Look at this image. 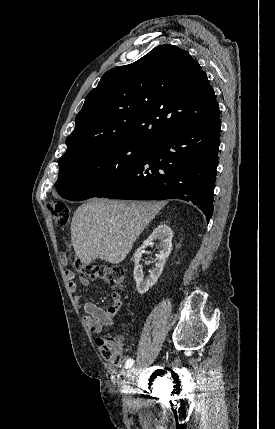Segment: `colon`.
I'll use <instances>...</instances> for the list:
<instances>
[{
  "label": "colon",
  "instance_id": "obj_1",
  "mask_svg": "<svg viewBox=\"0 0 275 429\" xmlns=\"http://www.w3.org/2000/svg\"><path fill=\"white\" fill-rule=\"evenodd\" d=\"M48 208L58 228L63 229L69 225L70 210L67 205L62 202L50 201ZM61 261L67 263L68 258L65 254H61ZM72 264L81 278L101 280L112 288L122 287L125 281V270L120 265H91L78 258H73ZM96 341L101 356L108 364H121L124 357L122 337L100 336Z\"/></svg>",
  "mask_w": 275,
  "mask_h": 429
}]
</instances>
